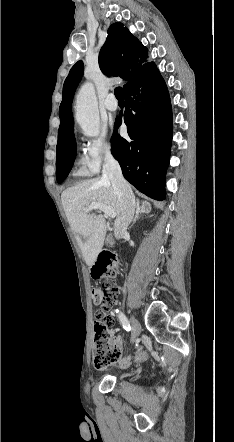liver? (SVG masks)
Here are the masks:
<instances>
[{"mask_svg":"<svg viewBox=\"0 0 234 442\" xmlns=\"http://www.w3.org/2000/svg\"><path fill=\"white\" fill-rule=\"evenodd\" d=\"M67 220L77 236L84 260L89 267L95 264L106 237V221L102 215L87 214L84 210L92 202L111 207L118 217L120 201L109 179L94 178L70 187L61 194Z\"/></svg>","mask_w":234,"mask_h":442,"instance_id":"6515ba94","label":"liver"}]
</instances>
